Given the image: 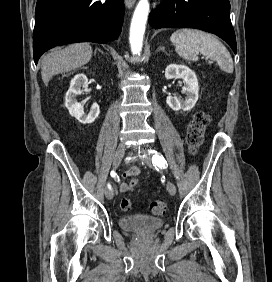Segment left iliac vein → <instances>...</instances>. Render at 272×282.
<instances>
[{
    "label": "left iliac vein",
    "instance_id": "obj_1",
    "mask_svg": "<svg viewBox=\"0 0 272 282\" xmlns=\"http://www.w3.org/2000/svg\"><path fill=\"white\" fill-rule=\"evenodd\" d=\"M146 152L147 151H143V153H146ZM143 161L149 167H153L154 166L153 163L149 159H147V158H144ZM166 188H167V191L169 192L170 195L174 196L176 194V186H175V184L173 182L168 181L167 185H166Z\"/></svg>",
    "mask_w": 272,
    "mask_h": 282
}]
</instances>
